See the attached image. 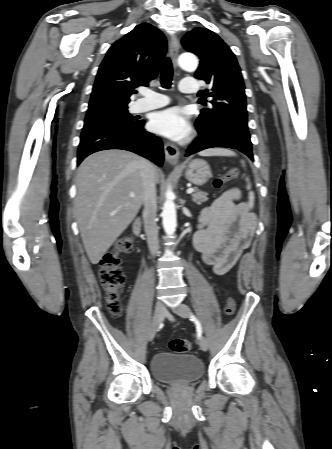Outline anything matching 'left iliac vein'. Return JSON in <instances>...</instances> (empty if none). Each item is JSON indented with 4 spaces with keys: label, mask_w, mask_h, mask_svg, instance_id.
Returning <instances> with one entry per match:
<instances>
[{
    "label": "left iliac vein",
    "mask_w": 332,
    "mask_h": 449,
    "mask_svg": "<svg viewBox=\"0 0 332 449\" xmlns=\"http://www.w3.org/2000/svg\"><path fill=\"white\" fill-rule=\"evenodd\" d=\"M174 312L183 318H189L190 316V309L185 304H179L176 308H174ZM198 344L203 351H207L208 341L205 337H200L198 339Z\"/></svg>",
    "instance_id": "4c4485c4"
}]
</instances>
